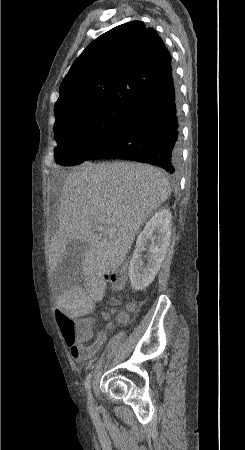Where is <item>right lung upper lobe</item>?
<instances>
[{
    "label": "right lung upper lobe",
    "instance_id": "obj_1",
    "mask_svg": "<svg viewBox=\"0 0 245 450\" xmlns=\"http://www.w3.org/2000/svg\"><path fill=\"white\" fill-rule=\"evenodd\" d=\"M173 73L171 56L141 21L102 34L74 61L55 103L56 116L117 104L133 107Z\"/></svg>",
    "mask_w": 245,
    "mask_h": 450
}]
</instances>
